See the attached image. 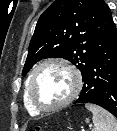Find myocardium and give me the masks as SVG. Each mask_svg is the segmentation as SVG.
Wrapping results in <instances>:
<instances>
[{
    "label": "myocardium",
    "mask_w": 117,
    "mask_h": 131,
    "mask_svg": "<svg viewBox=\"0 0 117 131\" xmlns=\"http://www.w3.org/2000/svg\"><path fill=\"white\" fill-rule=\"evenodd\" d=\"M52 65L62 66L71 73L73 77V89L70 95L62 102L53 106H44L36 100L33 93V84L39 71L47 66H52ZM81 88H82V76L80 71L74 65L62 59L46 60L40 63L39 65H37L35 69L32 71L31 75L29 76L28 84H27V92H28L29 100L33 105V107L39 112H54L64 108L65 106L69 105L72 101L75 100V98L80 93Z\"/></svg>",
    "instance_id": "obj_1"
}]
</instances>
